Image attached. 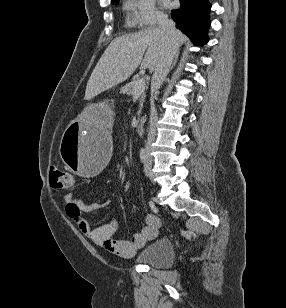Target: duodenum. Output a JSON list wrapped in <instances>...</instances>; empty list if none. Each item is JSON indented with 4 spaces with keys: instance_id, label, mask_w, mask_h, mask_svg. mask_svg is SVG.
Masks as SVG:
<instances>
[{
    "instance_id": "duodenum-1",
    "label": "duodenum",
    "mask_w": 286,
    "mask_h": 308,
    "mask_svg": "<svg viewBox=\"0 0 286 308\" xmlns=\"http://www.w3.org/2000/svg\"><path fill=\"white\" fill-rule=\"evenodd\" d=\"M136 132L139 135H143L145 133V123L143 121H140L137 125H136Z\"/></svg>"
}]
</instances>
